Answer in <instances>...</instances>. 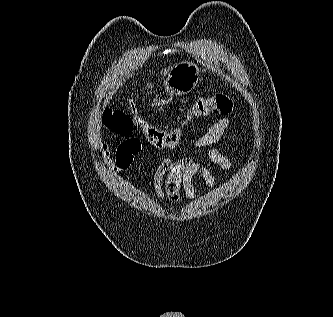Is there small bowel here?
Returning <instances> with one entry per match:
<instances>
[{"instance_id":"small-bowel-1","label":"small bowel","mask_w":333,"mask_h":317,"mask_svg":"<svg viewBox=\"0 0 333 317\" xmlns=\"http://www.w3.org/2000/svg\"><path fill=\"white\" fill-rule=\"evenodd\" d=\"M230 125L231 119L229 117L221 118L192 143L195 149L209 148L207 151L208 158L226 171L232 170V162L218 148L213 146L221 141ZM141 149V141L136 137L127 138L121 142L114 156L111 155L107 144L103 143L101 145L105 163L112 170L118 172L127 170L132 165L134 158L141 152ZM197 175L201 176L209 187H216V180L211 172L194 158L182 157L173 160L168 156L164 157L154 174L153 185L156 197L160 201L168 200L173 204H178L183 192L187 200L193 201L196 196L193 179Z\"/></svg>"}]
</instances>
